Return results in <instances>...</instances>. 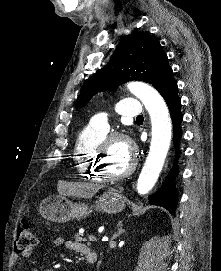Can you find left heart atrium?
I'll use <instances>...</instances> for the list:
<instances>
[{
    "instance_id": "obj_1",
    "label": "left heart atrium",
    "mask_w": 221,
    "mask_h": 271,
    "mask_svg": "<svg viewBox=\"0 0 221 271\" xmlns=\"http://www.w3.org/2000/svg\"><path fill=\"white\" fill-rule=\"evenodd\" d=\"M111 157H126V152H111Z\"/></svg>"
}]
</instances>
